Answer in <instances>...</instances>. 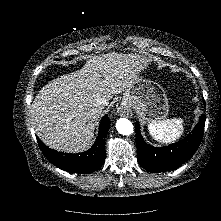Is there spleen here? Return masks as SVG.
<instances>
[{"label": "spleen", "instance_id": "3e777b00", "mask_svg": "<svg viewBox=\"0 0 221 221\" xmlns=\"http://www.w3.org/2000/svg\"><path fill=\"white\" fill-rule=\"evenodd\" d=\"M148 130L156 141L171 143L177 140L183 133V120L181 118H173L159 122H151L148 125Z\"/></svg>", "mask_w": 221, "mask_h": 221}]
</instances>
